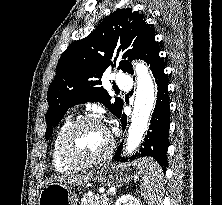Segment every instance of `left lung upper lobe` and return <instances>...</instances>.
Segmentation results:
<instances>
[{"instance_id":"left-lung-upper-lobe-1","label":"left lung upper lobe","mask_w":222,"mask_h":205,"mask_svg":"<svg viewBox=\"0 0 222 205\" xmlns=\"http://www.w3.org/2000/svg\"><path fill=\"white\" fill-rule=\"evenodd\" d=\"M154 33L142 14L131 8L118 9L105 17L86 38L75 41L62 53L56 67V76L47 92L49 109L45 115L48 140L66 111L78 103H103L117 117L122 111L123 100L111 96L100 85L103 73L112 66L113 52L126 51L124 59L139 58L148 38ZM118 69L130 72L129 61L122 60Z\"/></svg>"}]
</instances>
